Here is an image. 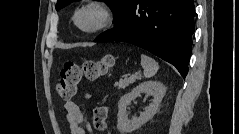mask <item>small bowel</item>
<instances>
[{
  "mask_svg": "<svg viewBox=\"0 0 239 134\" xmlns=\"http://www.w3.org/2000/svg\"><path fill=\"white\" fill-rule=\"evenodd\" d=\"M86 98H90V93H85ZM66 116L70 124L72 134H89L91 127L84 117L79 105L75 101H67L64 105Z\"/></svg>",
  "mask_w": 239,
  "mask_h": 134,
  "instance_id": "c3829d8e",
  "label": "small bowel"
}]
</instances>
